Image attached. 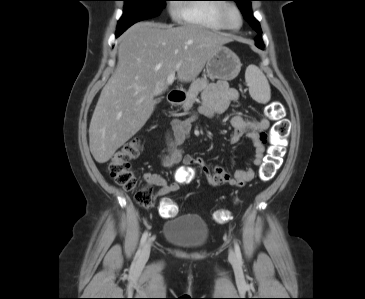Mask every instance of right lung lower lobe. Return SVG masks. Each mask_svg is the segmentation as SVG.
Wrapping results in <instances>:
<instances>
[{
	"mask_svg": "<svg viewBox=\"0 0 365 299\" xmlns=\"http://www.w3.org/2000/svg\"><path fill=\"white\" fill-rule=\"evenodd\" d=\"M134 24V23H133ZM133 24H127L123 26H118L116 31V37H119L126 29H128Z\"/></svg>",
	"mask_w": 365,
	"mask_h": 299,
	"instance_id": "right-lung-lower-lobe-1",
	"label": "right lung lower lobe"
}]
</instances>
